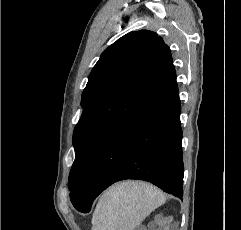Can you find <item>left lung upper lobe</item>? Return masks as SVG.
Returning <instances> with one entry per match:
<instances>
[{
  "label": "left lung upper lobe",
  "instance_id": "left-lung-upper-lobe-1",
  "mask_svg": "<svg viewBox=\"0 0 241 230\" xmlns=\"http://www.w3.org/2000/svg\"><path fill=\"white\" fill-rule=\"evenodd\" d=\"M175 74L169 47L152 31L130 32L101 54L82 93L83 113L73 133L75 160L69 175L73 204L80 202L104 145Z\"/></svg>",
  "mask_w": 241,
  "mask_h": 230
}]
</instances>
